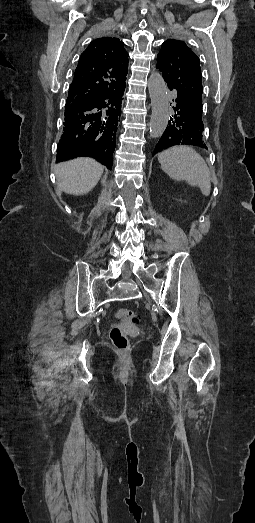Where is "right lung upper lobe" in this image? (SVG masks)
I'll use <instances>...</instances> for the list:
<instances>
[{
	"instance_id": "1",
	"label": "right lung upper lobe",
	"mask_w": 255,
	"mask_h": 523,
	"mask_svg": "<svg viewBox=\"0 0 255 523\" xmlns=\"http://www.w3.org/2000/svg\"><path fill=\"white\" fill-rule=\"evenodd\" d=\"M128 73V54L118 38L93 40L81 54L65 106L62 137L57 147V162L79 156L97 159L112 168L121 100ZM97 100L100 103V142L87 152L83 144V117L79 104Z\"/></svg>"
}]
</instances>
